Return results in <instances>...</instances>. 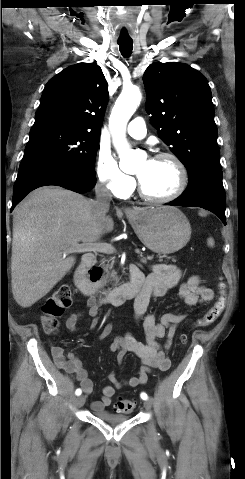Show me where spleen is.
<instances>
[{"instance_id": "spleen-1", "label": "spleen", "mask_w": 245, "mask_h": 479, "mask_svg": "<svg viewBox=\"0 0 245 479\" xmlns=\"http://www.w3.org/2000/svg\"><path fill=\"white\" fill-rule=\"evenodd\" d=\"M207 244H208V246L213 247V246H214V240H213V238H211V237L208 238Z\"/></svg>"}]
</instances>
